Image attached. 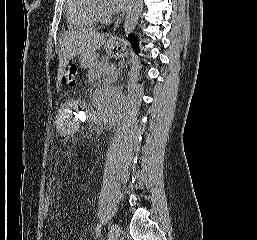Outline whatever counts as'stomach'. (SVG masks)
Here are the masks:
<instances>
[{
  "instance_id": "stomach-1",
  "label": "stomach",
  "mask_w": 257,
  "mask_h": 240,
  "mask_svg": "<svg viewBox=\"0 0 257 240\" xmlns=\"http://www.w3.org/2000/svg\"><path fill=\"white\" fill-rule=\"evenodd\" d=\"M123 49H124L123 44H121L116 39L109 40L106 43V52L111 56H114V57L120 56ZM79 61L81 63V66L84 69L91 68L92 65L96 62V55L95 53L81 54L79 57Z\"/></svg>"
}]
</instances>
